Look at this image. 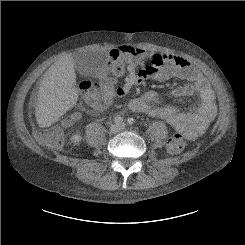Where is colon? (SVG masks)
<instances>
[{"label": "colon", "instance_id": "5ec220e1", "mask_svg": "<svg viewBox=\"0 0 245 245\" xmlns=\"http://www.w3.org/2000/svg\"><path fill=\"white\" fill-rule=\"evenodd\" d=\"M139 50L134 46L124 47V60L136 61L139 58ZM124 60L116 58L113 63L114 70H122ZM163 65V62H159ZM81 89L87 93L100 92L110 94L113 92V84L110 76H103L100 81H85L81 84ZM76 120V115L71 114L62 119L59 125L43 128L37 132V139L48 146L57 147L62 142L63 129L70 126ZM186 139L183 133L176 132L167 140V150L171 154H178L183 151Z\"/></svg>", "mask_w": 245, "mask_h": 245}]
</instances>
